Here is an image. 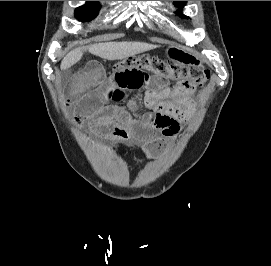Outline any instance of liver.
Returning <instances> with one entry per match:
<instances>
[{
  "label": "liver",
  "instance_id": "6515ba94",
  "mask_svg": "<svg viewBox=\"0 0 271 266\" xmlns=\"http://www.w3.org/2000/svg\"><path fill=\"white\" fill-rule=\"evenodd\" d=\"M156 46L141 42H106L88 47L91 54L107 60H121L154 49ZM83 55L78 48L68 53L61 62V70H66L76 64Z\"/></svg>",
  "mask_w": 271,
  "mask_h": 266
}]
</instances>
